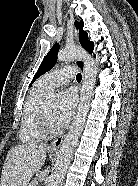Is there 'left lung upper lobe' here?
<instances>
[{
	"instance_id": "1",
	"label": "left lung upper lobe",
	"mask_w": 138,
	"mask_h": 186,
	"mask_svg": "<svg viewBox=\"0 0 138 186\" xmlns=\"http://www.w3.org/2000/svg\"><path fill=\"white\" fill-rule=\"evenodd\" d=\"M75 26L78 28L79 32V41L80 44L90 53L93 52L94 49V44L93 42H90L88 40V34L86 31L83 30V26L84 23L83 21H80L79 23L76 21L75 22ZM59 51V44L56 43L53 45V47L51 48V50L48 52V54L44 57L37 73L35 74L32 83L42 74L46 73L47 71H49L54 64L56 63L57 60V53Z\"/></svg>"
}]
</instances>
